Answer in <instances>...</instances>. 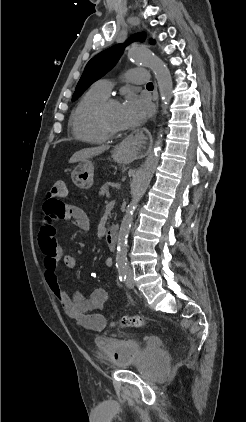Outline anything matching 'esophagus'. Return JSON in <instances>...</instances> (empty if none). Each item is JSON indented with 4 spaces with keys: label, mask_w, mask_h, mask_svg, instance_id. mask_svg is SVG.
<instances>
[{
    "label": "esophagus",
    "mask_w": 246,
    "mask_h": 422,
    "mask_svg": "<svg viewBox=\"0 0 246 422\" xmlns=\"http://www.w3.org/2000/svg\"><path fill=\"white\" fill-rule=\"evenodd\" d=\"M154 100L156 102V106L158 107V92H157V86L155 85V89H154ZM150 144H152V139L149 140ZM126 148L129 151H135L138 150L139 148L144 146V142L142 140H138L134 137H130L126 143H125Z\"/></svg>",
    "instance_id": "esophagus-1"
}]
</instances>
